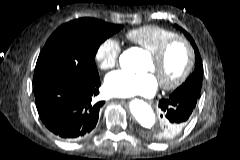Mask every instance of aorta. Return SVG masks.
I'll use <instances>...</instances> for the list:
<instances>
[{"label": "aorta", "instance_id": "obj_1", "mask_svg": "<svg viewBox=\"0 0 240 160\" xmlns=\"http://www.w3.org/2000/svg\"><path fill=\"white\" fill-rule=\"evenodd\" d=\"M130 53L138 59V55L135 50H131ZM130 111L136 120L145 128H152L155 125L156 117L152 108L142 100L134 99L129 104Z\"/></svg>", "mask_w": 240, "mask_h": 160}]
</instances>
